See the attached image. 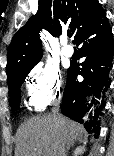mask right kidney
Returning <instances> with one entry per match:
<instances>
[{
	"instance_id": "1",
	"label": "right kidney",
	"mask_w": 114,
	"mask_h": 156,
	"mask_svg": "<svg viewBox=\"0 0 114 156\" xmlns=\"http://www.w3.org/2000/svg\"><path fill=\"white\" fill-rule=\"evenodd\" d=\"M85 151V147L84 146H79L75 149V151L73 152V156H79L81 155L83 152Z\"/></svg>"
}]
</instances>
